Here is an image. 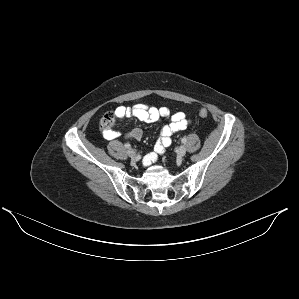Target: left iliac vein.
Instances as JSON below:
<instances>
[{"instance_id":"left-iliac-vein-1","label":"left iliac vein","mask_w":299,"mask_h":299,"mask_svg":"<svg viewBox=\"0 0 299 299\" xmlns=\"http://www.w3.org/2000/svg\"><path fill=\"white\" fill-rule=\"evenodd\" d=\"M185 154H186V148H185V146H180V147L177 149V155H178L179 157H183Z\"/></svg>"}]
</instances>
